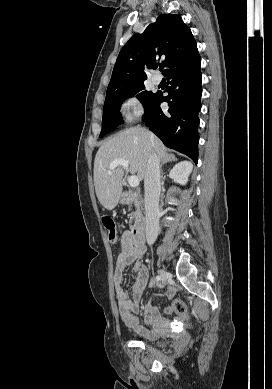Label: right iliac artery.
I'll use <instances>...</instances> for the list:
<instances>
[{"label": "right iliac artery", "mask_w": 272, "mask_h": 389, "mask_svg": "<svg viewBox=\"0 0 272 389\" xmlns=\"http://www.w3.org/2000/svg\"><path fill=\"white\" fill-rule=\"evenodd\" d=\"M154 280L160 281V280H161V277H160V276H156V277H154Z\"/></svg>", "instance_id": "right-iliac-artery-1"}]
</instances>
